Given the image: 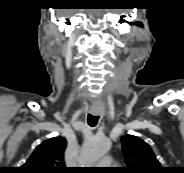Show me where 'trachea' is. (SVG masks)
<instances>
[{
	"mask_svg": "<svg viewBox=\"0 0 184 173\" xmlns=\"http://www.w3.org/2000/svg\"><path fill=\"white\" fill-rule=\"evenodd\" d=\"M98 120H99V116L88 114L87 122L91 127H95L97 125Z\"/></svg>",
	"mask_w": 184,
	"mask_h": 173,
	"instance_id": "1",
	"label": "trachea"
}]
</instances>
